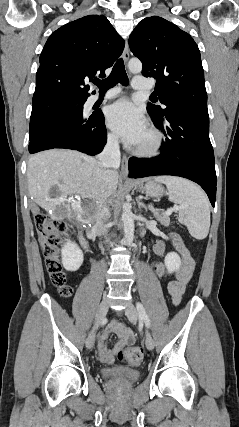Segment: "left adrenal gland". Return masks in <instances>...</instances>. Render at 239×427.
<instances>
[{
  "label": "left adrenal gland",
  "instance_id": "a2214340",
  "mask_svg": "<svg viewBox=\"0 0 239 427\" xmlns=\"http://www.w3.org/2000/svg\"><path fill=\"white\" fill-rule=\"evenodd\" d=\"M136 201H137V204H138V207L139 208H144L145 209V211H147V206L143 203V202H141V199L140 198H137L136 199Z\"/></svg>",
  "mask_w": 239,
  "mask_h": 427
}]
</instances>
